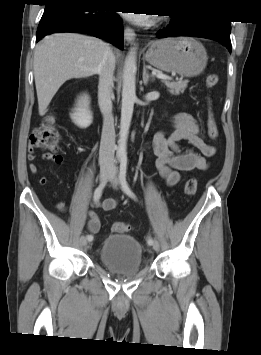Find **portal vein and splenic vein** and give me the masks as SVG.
<instances>
[{
    "mask_svg": "<svg viewBox=\"0 0 261 355\" xmlns=\"http://www.w3.org/2000/svg\"><path fill=\"white\" fill-rule=\"evenodd\" d=\"M152 74L154 76H156L157 78H160V79H163V80H170L171 79V77H169L167 75H164V74H161V73L152 72Z\"/></svg>",
    "mask_w": 261,
    "mask_h": 355,
    "instance_id": "obj_1",
    "label": "portal vein and splenic vein"
}]
</instances>
